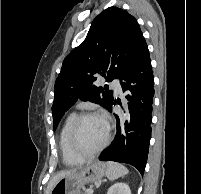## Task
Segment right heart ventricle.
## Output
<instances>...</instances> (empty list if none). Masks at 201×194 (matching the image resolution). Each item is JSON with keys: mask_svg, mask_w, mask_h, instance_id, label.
<instances>
[{"mask_svg": "<svg viewBox=\"0 0 201 194\" xmlns=\"http://www.w3.org/2000/svg\"><path fill=\"white\" fill-rule=\"evenodd\" d=\"M77 114L72 112L65 118L60 132H59V148L61 152L62 161L67 166H75L81 164L84 159L75 155L69 145V132L71 125L76 118Z\"/></svg>", "mask_w": 201, "mask_h": 194, "instance_id": "e07e8e85", "label": "right heart ventricle"}]
</instances>
